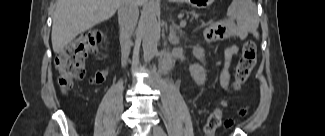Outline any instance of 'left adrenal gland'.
Here are the masks:
<instances>
[{
	"instance_id": "left-adrenal-gland-1",
	"label": "left adrenal gland",
	"mask_w": 325,
	"mask_h": 136,
	"mask_svg": "<svg viewBox=\"0 0 325 136\" xmlns=\"http://www.w3.org/2000/svg\"><path fill=\"white\" fill-rule=\"evenodd\" d=\"M182 35V30L179 26L175 24L172 20V24L169 28V37L168 40L171 44H177L179 40V36Z\"/></svg>"
}]
</instances>
